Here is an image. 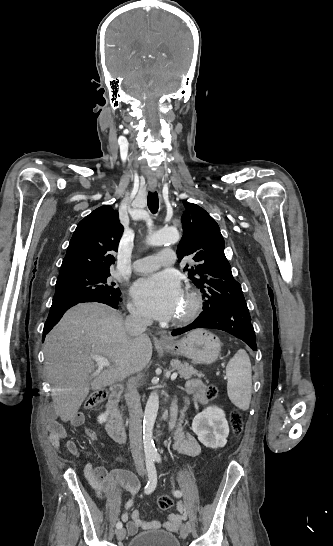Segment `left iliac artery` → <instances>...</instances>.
Returning a JSON list of instances; mask_svg holds the SVG:
<instances>
[{"label": "left iliac artery", "mask_w": 333, "mask_h": 546, "mask_svg": "<svg viewBox=\"0 0 333 546\" xmlns=\"http://www.w3.org/2000/svg\"><path fill=\"white\" fill-rule=\"evenodd\" d=\"M153 457H154L155 461H157V462H160V461H161V457H160L159 454H155ZM174 495H175L176 497H181V496H182V492L179 491V490H175V491H174ZM186 517H187V515L184 514V519H186ZM187 523L189 524V522H187Z\"/></svg>", "instance_id": "1"}]
</instances>
